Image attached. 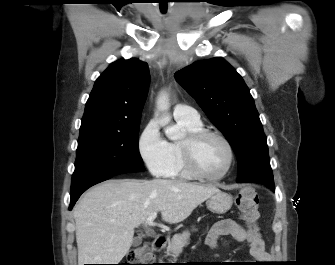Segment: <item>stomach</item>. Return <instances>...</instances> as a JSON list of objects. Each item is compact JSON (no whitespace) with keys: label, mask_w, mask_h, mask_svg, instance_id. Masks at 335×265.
Here are the masks:
<instances>
[{"label":"stomach","mask_w":335,"mask_h":265,"mask_svg":"<svg viewBox=\"0 0 335 265\" xmlns=\"http://www.w3.org/2000/svg\"><path fill=\"white\" fill-rule=\"evenodd\" d=\"M232 196L226 192H216L210 198H208L206 204L207 208L217 214L226 213L232 206Z\"/></svg>","instance_id":"obj_1"}]
</instances>
